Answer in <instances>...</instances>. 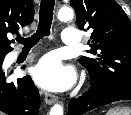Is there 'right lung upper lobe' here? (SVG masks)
Wrapping results in <instances>:
<instances>
[{
	"label": "right lung upper lobe",
	"mask_w": 131,
	"mask_h": 115,
	"mask_svg": "<svg viewBox=\"0 0 131 115\" xmlns=\"http://www.w3.org/2000/svg\"><path fill=\"white\" fill-rule=\"evenodd\" d=\"M33 18L32 0H0V58L13 50L8 36L18 33Z\"/></svg>",
	"instance_id": "right-lung-upper-lobe-1"
}]
</instances>
